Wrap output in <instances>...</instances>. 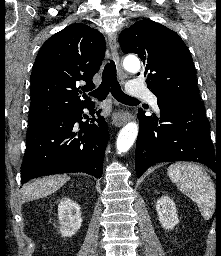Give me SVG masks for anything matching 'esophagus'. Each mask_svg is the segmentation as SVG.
Wrapping results in <instances>:
<instances>
[{"label": "esophagus", "mask_w": 221, "mask_h": 256, "mask_svg": "<svg viewBox=\"0 0 221 256\" xmlns=\"http://www.w3.org/2000/svg\"><path fill=\"white\" fill-rule=\"evenodd\" d=\"M108 45L111 52V55L117 65V70L119 77L124 79L125 75L120 65V59L118 55V45H117V38L114 33L108 36ZM131 119V114L128 111H115L113 113V124L116 127H120L124 125L127 121Z\"/></svg>", "instance_id": "1"}]
</instances>
